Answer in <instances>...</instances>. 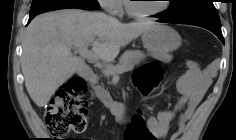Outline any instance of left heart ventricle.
Here are the masks:
<instances>
[{
    "label": "left heart ventricle",
    "mask_w": 236,
    "mask_h": 140,
    "mask_svg": "<svg viewBox=\"0 0 236 140\" xmlns=\"http://www.w3.org/2000/svg\"><path fill=\"white\" fill-rule=\"evenodd\" d=\"M163 5L162 1L158 0H137L131 2L134 10L139 12H150L160 8Z\"/></svg>",
    "instance_id": "obj_1"
}]
</instances>
